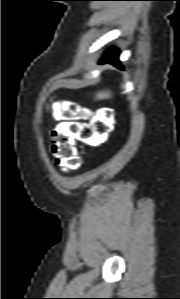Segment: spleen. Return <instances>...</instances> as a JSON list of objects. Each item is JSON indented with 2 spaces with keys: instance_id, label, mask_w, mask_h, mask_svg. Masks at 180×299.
Returning <instances> with one entry per match:
<instances>
[{
  "instance_id": "3e777b00",
  "label": "spleen",
  "mask_w": 180,
  "mask_h": 299,
  "mask_svg": "<svg viewBox=\"0 0 180 299\" xmlns=\"http://www.w3.org/2000/svg\"><path fill=\"white\" fill-rule=\"evenodd\" d=\"M96 97L98 99H107V98L111 97V93L109 91L98 92Z\"/></svg>"
}]
</instances>
